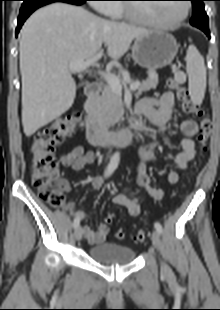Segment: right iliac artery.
Masks as SVG:
<instances>
[{
	"label": "right iliac artery",
	"mask_w": 220,
	"mask_h": 310,
	"mask_svg": "<svg viewBox=\"0 0 220 310\" xmlns=\"http://www.w3.org/2000/svg\"><path fill=\"white\" fill-rule=\"evenodd\" d=\"M118 163H119V153L116 152V153L112 156V158H111V160H110V162H109V164H108V166H107V168H106V171H105V173H104V176H105V177H109V176L114 172V170L117 168ZM80 220H81L80 217H76V218L74 219V221H73V227H74V228H77V227L79 226Z\"/></svg>",
	"instance_id": "82829eb1"
}]
</instances>
